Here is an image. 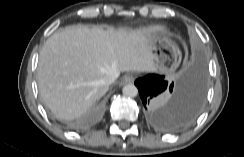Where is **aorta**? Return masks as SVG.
Wrapping results in <instances>:
<instances>
[{
  "label": "aorta",
  "instance_id": "aorta-1",
  "mask_svg": "<svg viewBox=\"0 0 244 157\" xmlns=\"http://www.w3.org/2000/svg\"><path fill=\"white\" fill-rule=\"evenodd\" d=\"M122 92L125 96L135 97L138 94V89L133 84H127L123 87Z\"/></svg>",
  "mask_w": 244,
  "mask_h": 157
}]
</instances>
